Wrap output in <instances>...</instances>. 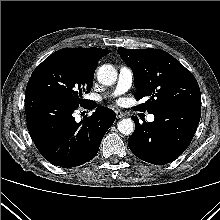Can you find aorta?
Listing matches in <instances>:
<instances>
[{
  "mask_svg": "<svg viewBox=\"0 0 220 220\" xmlns=\"http://www.w3.org/2000/svg\"><path fill=\"white\" fill-rule=\"evenodd\" d=\"M97 79L99 83L109 86L116 82L117 71L110 64H104L97 71ZM118 130L124 135H131L134 132V122L132 119H122L117 124Z\"/></svg>",
  "mask_w": 220,
  "mask_h": 220,
  "instance_id": "762f6f07",
  "label": "aorta"
}]
</instances>
